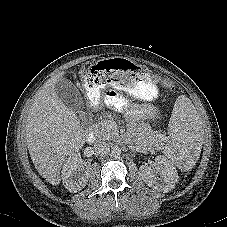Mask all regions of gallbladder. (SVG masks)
<instances>
[{"label": "gallbladder", "instance_id": "1", "mask_svg": "<svg viewBox=\"0 0 227 227\" xmlns=\"http://www.w3.org/2000/svg\"><path fill=\"white\" fill-rule=\"evenodd\" d=\"M58 98L72 111H82L84 103L79 90L67 78L61 77L54 86Z\"/></svg>", "mask_w": 227, "mask_h": 227}]
</instances>
